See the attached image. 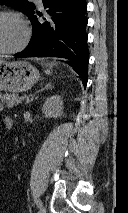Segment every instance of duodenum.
Returning a JSON list of instances; mask_svg holds the SVG:
<instances>
[{
  "label": "duodenum",
  "instance_id": "410a0bca",
  "mask_svg": "<svg viewBox=\"0 0 128 213\" xmlns=\"http://www.w3.org/2000/svg\"><path fill=\"white\" fill-rule=\"evenodd\" d=\"M7 125L10 127L12 125V121L10 119L7 120Z\"/></svg>",
  "mask_w": 128,
  "mask_h": 213
}]
</instances>
